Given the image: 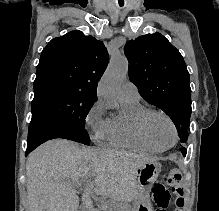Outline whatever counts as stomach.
I'll return each mask as SVG.
<instances>
[{"label":"stomach","mask_w":219,"mask_h":211,"mask_svg":"<svg viewBox=\"0 0 219 211\" xmlns=\"http://www.w3.org/2000/svg\"><path fill=\"white\" fill-rule=\"evenodd\" d=\"M161 171V164L152 161L141 166L135 175V184L138 190V204L134 211H153L147 199V192L155 183Z\"/></svg>","instance_id":"0dacf381"}]
</instances>
